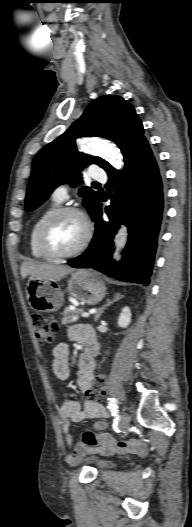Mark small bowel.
Wrapping results in <instances>:
<instances>
[{"mask_svg":"<svg viewBox=\"0 0 192 527\" xmlns=\"http://www.w3.org/2000/svg\"><path fill=\"white\" fill-rule=\"evenodd\" d=\"M67 335L70 340L85 344V351L78 360L77 385L88 397L83 404L66 397L59 408L63 435L68 447L71 449L67 455V461L70 464H76L85 453L98 444L103 446L101 451L104 454H111L117 449L141 452L143 448L136 440L116 444L104 431L107 427L104 421L107 417V411L99 401L91 397L95 379L93 376L95 356L98 351L95 332L89 325L78 324L69 327ZM52 370L54 375L62 381L69 378V347L66 343H58L54 347ZM85 419H97V421L92 425L93 431H83L80 441L74 446L70 425L72 422H81Z\"/></svg>","mask_w":192,"mask_h":527,"instance_id":"obj_1","label":"small bowel"}]
</instances>
